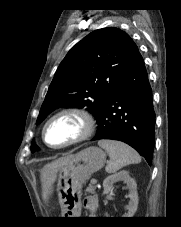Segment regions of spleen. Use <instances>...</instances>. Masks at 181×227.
<instances>
[{"label":"spleen","instance_id":"spleen-1","mask_svg":"<svg viewBox=\"0 0 181 227\" xmlns=\"http://www.w3.org/2000/svg\"><path fill=\"white\" fill-rule=\"evenodd\" d=\"M98 145L106 150L110 162L106 166V172L114 173L129 164L141 162L140 155L127 144L116 140H100Z\"/></svg>","mask_w":181,"mask_h":227}]
</instances>
